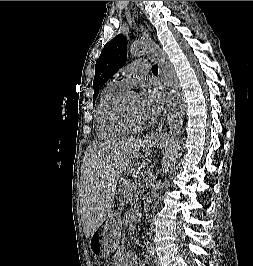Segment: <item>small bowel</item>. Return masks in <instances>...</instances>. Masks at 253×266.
I'll return each instance as SVG.
<instances>
[{"instance_id":"1","label":"small bowel","mask_w":253,"mask_h":266,"mask_svg":"<svg viewBox=\"0 0 253 266\" xmlns=\"http://www.w3.org/2000/svg\"><path fill=\"white\" fill-rule=\"evenodd\" d=\"M111 266H141L137 257L129 252L119 251L116 255V262Z\"/></svg>"}]
</instances>
